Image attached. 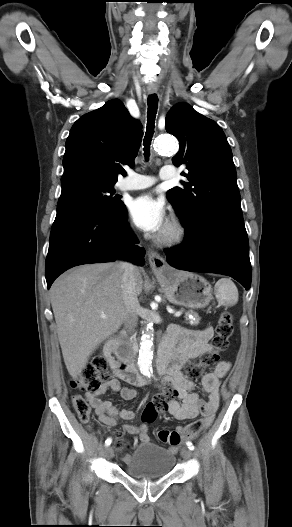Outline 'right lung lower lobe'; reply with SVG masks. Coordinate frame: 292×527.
Here are the masks:
<instances>
[{
	"label": "right lung lower lobe",
	"instance_id": "98d812e1",
	"mask_svg": "<svg viewBox=\"0 0 292 527\" xmlns=\"http://www.w3.org/2000/svg\"><path fill=\"white\" fill-rule=\"evenodd\" d=\"M127 224V211L112 217L82 204L57 207L46 258V281H53L71 267L112 262L117 258L144 265L145 251Z\"/></svg>",
	"mask_w": 292,
	"mask_h": 527
}]
</instances>
